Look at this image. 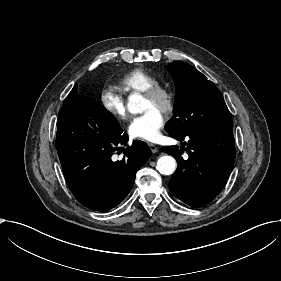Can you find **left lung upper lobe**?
I'll return each mask as SVG.
<instances>
[{
  "instance_id": "obj_1",
  "label": "left lung upper lobe",
  "mask_w": 281,
  "mask_h": 281,
  "mask_svg": "<svg viewBox=\"0 0 281 281\" xmlns=\"http://www.w3.org/2000/svg\"><path fill=\"white\" fill-rule=\"evenodd\" d=\"M166 69L176 88L173 117L165 126L171 136L233 125L221 93L202 73L182 61L169 63Z\"/></svg>"
}]
</instances>
